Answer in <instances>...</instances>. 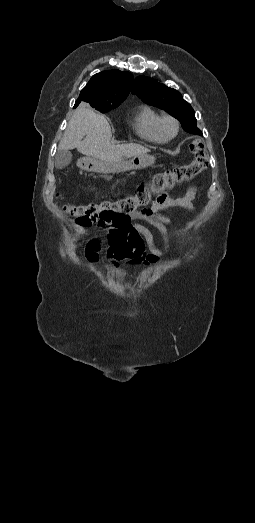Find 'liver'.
Instances as JSON below:
<instances>
[{
  "mask_svg": "<svg viewBox=\"0 0 255 523\" xmlns=\"http://www.w3.org/2000/svg\"><path fill=\"white\" fill-rule=\"evenodd\" d=\"M111 138L112 132L106 118L90 108L79 106L70 118L58 148L59 150L76 148L80 154L91 156L92 160H99L105 174H112L119 170L122 166V158L146 156L147 152H150L140 144L112 146Z\"/></svg>",
  "mask_w": 255,
  "mask_h": 523,
  "instance_id": "6515ba94",
  "label": "liver"
}]
</instances>
